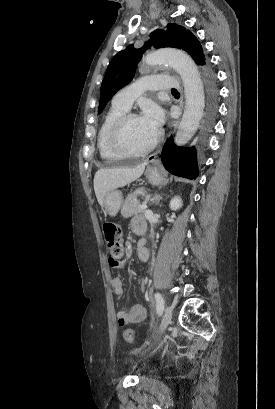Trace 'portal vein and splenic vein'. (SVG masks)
<instances>
[{"mask_svg":"<svg viewBox=\"0 0 275 409\" xmlns=\"http://www.w3.org/2000/svg\"><path fill=\"white\" fill-rule=\"evenodd\" d=\"M139 209H148L146 202H143V205H139Z\"/></svg>","mask_w":275,"mask_h":409,"instance_id":"portal-vein-and-splenic-vein-1","label":"portal vein and splenic vein"}]
</instances>
